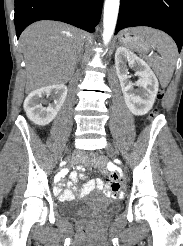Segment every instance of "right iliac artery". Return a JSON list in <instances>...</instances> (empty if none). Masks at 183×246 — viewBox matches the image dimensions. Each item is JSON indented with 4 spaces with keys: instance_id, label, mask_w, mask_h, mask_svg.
Masks as SVG:
<instances>
[{
    "instance_id": "1",
    "label": "right iliac artery",
    "mask_w": 183,
    "mask_h": 246,
    "mask_svg": "<svg viewBox=\"0 0 183 246\" xmlns=\"http://www.w3.org/2000/svg\"><path fill=\"white\" fill-rule=\"evenodd\" d=\"M63 174H64L63 171L59 172V174L55 177V181L57 182V180L61 178Z\"/></svg>"
}]
</instances>
